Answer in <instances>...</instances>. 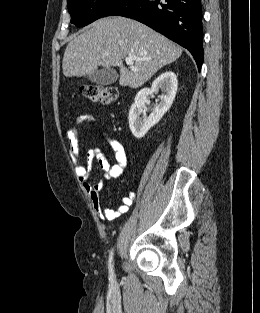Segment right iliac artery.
<instances>
[{"label": "right iliac artery", "instance_id": "obj_1", "mask_svg": "<svg viewBox=\"0 0 260 313\" xmlns=\"http://www.w3.org/2000/svg\"><path fill=\"white\" fill-rule=\"evenodd\" d=\"M108 270H109V279L114 280L115 274L113 269V249L111 250L109 255Z\"/></svg>", "mask_w": 260, "mask_h": 313}]
</instances>
